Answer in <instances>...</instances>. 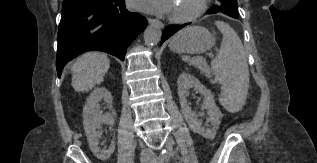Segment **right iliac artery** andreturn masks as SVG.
Segmentation results:
<instances>
[{"label":"right iliac artery","instance_id":"82829eb1","mask_svg":"<svg viewBox=\"0 0 317 163\" xmlns=\"http://www.w3.org/2000/svg\"><path fill=\"white\" fill-rule=\"evenodd\" d=\"M164 161H165V157L162 152V155L158 157V159L156 160V163H164Z\"/></svg>","mask_w":317,"mask_h":163}]
</instances>
